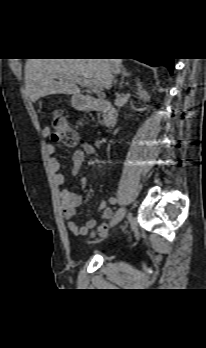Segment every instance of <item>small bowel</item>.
Here are the masks:
<instances>
[{
    "mask_svg": "<svg viewBox=\"0 0 206 348\" xmlns=\"http://www.w3.org/2000/svg\"><path fill=\"white\" fill-rule=\"evenodd\" d=\"M48 134L49 130L44 129L43 135L47 136ZM73 146L74 153L72 155L71 173L73 175H77L84 162L85 156L93 155L96 150L91 143L85 141H78ZM55 151L56 149L54 145L50 143L45 144V152L48 156L49 167L52 171L53 180L56 186L60 189L61 207L64 217L67 220V227L72 234L76 236H84L98 225V221L96 219H88L84 224L79 225L73 220L80 205L82 204L83 199L81 196H78L73 191L64 187L65 176L60 171V162L57 157H55ZM80 183L83 187H86L88 185V178L81 177ZM98 210L101 212V217L103 220L111 218L113 214L112 209L107 206L106 202L104 201L100 203Z\"/></svg>",
    "mask_w": 206,
    "mask_h": 348,
    "instance_id": "obj_1",
    "label": "small bowel"
}]
</instances>
